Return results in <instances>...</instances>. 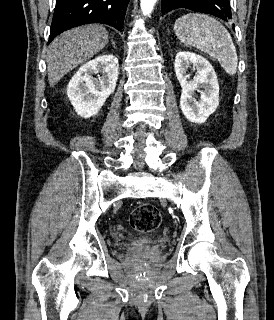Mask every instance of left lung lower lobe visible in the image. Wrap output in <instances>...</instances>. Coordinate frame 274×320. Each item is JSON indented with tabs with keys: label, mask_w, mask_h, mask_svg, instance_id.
Listing matches in <instances>:
<instances>
[{
	"label": "left lung lower lobe",
	"mask_w": 274,
	"mask_h": 320,
	"mask_svg": "<svg viewBox=\"0 0 274 320\" xmlns=\"http://www.w3.org/2000/svg\"><path fill=\"white\" fill-rule=\"evenodd\" d=\"M177 8L211 14L224 21L232 18L229 0H162L163 14Z\"/></svg>",
	"instance_id": "obj_1"
}]
</instances>
